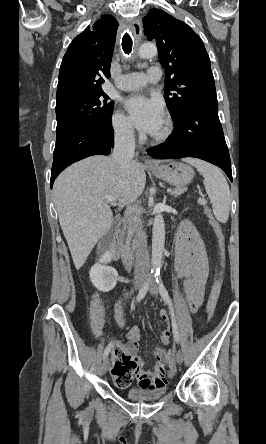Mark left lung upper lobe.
<instances>
[{
    "label": "left lung upper lobe",
    "mask_w": 266,
    "mask_h": 444,
    "mask_svg": "<svg viewBox=\"0 0 266 444\" xmlns=\"http://www.w3.org/2000/svg\"><path fill=\"white\" fill-rule=\"evenodd\" d=\"M148 40H156L159 62L166 69L165 100L172 119L187 109L218 103L209 55L201 38L184 22L151 9L143 18Z\"/></svg>",
    "instance_id": "left-lung-upper-lobe-1"
}]
</instances>
